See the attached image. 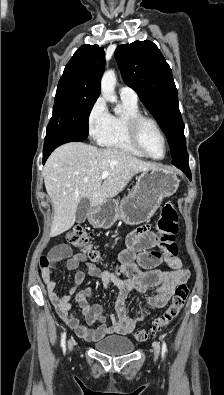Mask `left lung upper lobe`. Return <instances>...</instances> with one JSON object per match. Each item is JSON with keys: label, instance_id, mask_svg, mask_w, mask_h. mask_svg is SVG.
<instances>
[{"label": "left lung upper lobe", "instance_id": "1", "mask_svg": "<svg viewBox=\"0 0 224 395\" xmlns=\"http://www.w3.org/2000/svg\"><path fill=\"white\" fill-rule=\"evenodd\" d=\"M115 57L124 82L160 123L172 158H178L186 151L184 123L172 72L162 53L153 42L144 40L118 46Z\"/></svg>", "mask_w": 224, "mask_h": 395}]
</instances>
